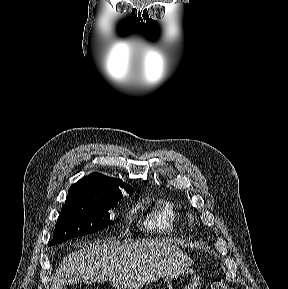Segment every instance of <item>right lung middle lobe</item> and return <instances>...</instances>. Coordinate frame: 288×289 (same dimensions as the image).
<instances>
[{"label": "right lung middle lobe", "instance_id": "1", "mask_svg": "<svg viewBox=\"0 0 288 289\" xmlns=\"http://www.w3.org/2000/svg\"><path fill=\"white\" fill-rule=\"evenodd\" d=\"M127 193L132 195L133 191ZM121 198L122 194L119 191L104 192L96 196L68 195L49 245H56L106 227L111 223L109 209Z\"/></svg>", "mask_w": 288, "mask_h": 289}]
</instances>
